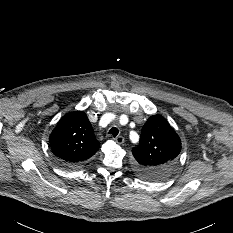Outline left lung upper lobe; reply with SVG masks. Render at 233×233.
Instances as JSON below:
<instances>
[{
  "mask_svg": "<svg viewBox=\"0 0 233 233\" xmlns=\"http://www.w3.org/2000/svg\"><path fill=\"white\" fill-rule=\"evenodd\" d=\"M180 151V138L167 120L161 115H153L143 126L140 144L132 153L141 177L160 180L172 172Z\"/></svg>",
  "mask_w": 233,
  "mask_h": 233,
  "instance_id": "obj_1",
  "label": "left lung upper lobe"
}]
</instances>
